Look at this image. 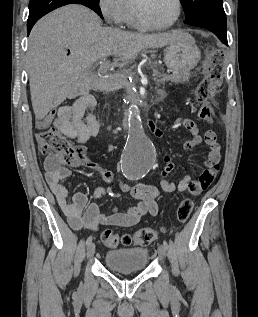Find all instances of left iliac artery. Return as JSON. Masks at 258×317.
I'll use <instances>...</instances> for the list:
<instances>
[{
    "instance_id": "left-iliac-artery-1",
    "label": "left iliac artery",
    "mask_w": 258,
    "mask_h": 317,
    "mask_svg": "<svg viewBox=\"0 0 258 317\" xmlns=\"http://www.w3.org/2000/svg\"><path fill=\"white\" fill-rule=\"evenodd\" d=\"M163 245H164L165 249H168V242L165 239L163 240ZM176 292H179V291L176 290Z\"/></svg>"
}]
</instances>
